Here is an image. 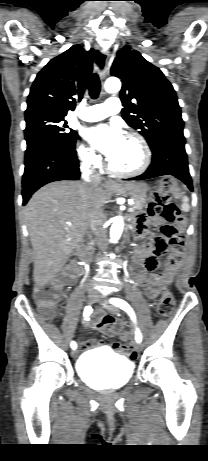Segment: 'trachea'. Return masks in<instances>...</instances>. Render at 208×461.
I'll list each match as a JSON object with an SVG mask.
<instances>
[{
	"mask_svg": "<svg viewBox=\"0 0 208 461\" xmlns=\"http://www.w3.org/2000/svg\"><path fill=\"white\" fill-rule=\"evenodd\" d=\"M100 54L97 52V58ZM100 93V80L97 73L92 76L89 86V94L92 99H97Z\"/></svg>",
	"mask_w": 208,
	"mask_h": 461,
	"instance_id": "1",
	"label": "trachea"
}]
</instances>
